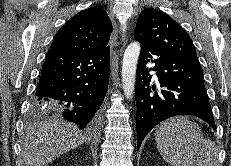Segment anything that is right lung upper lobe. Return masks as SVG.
Listing matches in <instances>:
<instances>
[{"mask_svg": "<svg viewBox=\"0 0 231 166\" xmlns=\"http://www.w3.org/2000/svg\"><path fill=\"white\" fill-rule=\"evenodd\" d=\"M112 24L99 6L77 13L56 33L50 49L72 53H89L108 46Z\"/></svg>", "mask_w": 231, "mask_h": 166, "instance_id": "1", "label": "right lung upper lobe"}]
</instances>
